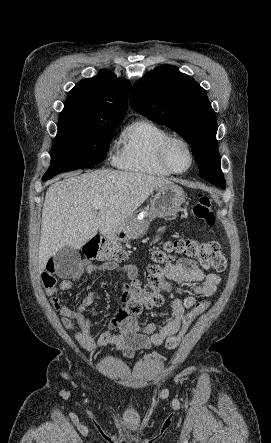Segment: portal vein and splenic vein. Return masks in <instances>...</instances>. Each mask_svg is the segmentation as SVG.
Masks as SVG:
<instances>
[{
	"label": "portal vein and splenic vein",
	"mask_w": 271,
	"mask_h": 443,
	"mask_svg": "<svg viewBox=\"0 0 271 443\" xmlns=\"http://www.w3.org/2000/svg\"><path fill=\"white\" fill-rule=\"evenodd\" d=\"M103 204L104 202H96V204H94V210H100V208H103Z\"/></svg>",
	"instance_id": "portal-vein-and-splenic-vein-1"
}]
</instances>
